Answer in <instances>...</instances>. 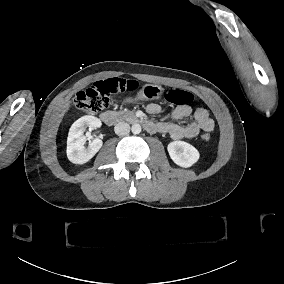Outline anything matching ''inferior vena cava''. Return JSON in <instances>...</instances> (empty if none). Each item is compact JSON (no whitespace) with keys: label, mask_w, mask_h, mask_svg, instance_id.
I'll use <instances>...</instances> for the list:
<instances>
[{"label":"inferior vena cava","mask_w":284,"mask_h":284,"mask_svg":"<svg viewBox=\"0 0 284 284\" xmlns=\"http://www.w3.org/2000/svg\"><path fill=\"white\" fill-rule=\"evenodd\" d=\"M114 131L117 135L125 136L130 132V125L126 122H119L115 125Z\"/></svg>","instance_id":"602c4592"}]
</instances>
